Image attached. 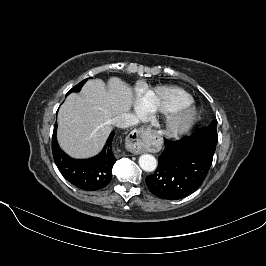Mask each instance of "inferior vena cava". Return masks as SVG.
<instances>
[{
  "label": "inferior vena cava",
  "instance_id": "1",
  "mask_svg": "<svg viewBox=\"0 0 266 266\" xmlns=\"http://www.w3.org/2000/svg\"><path fill=\"white\" fill-rule=\"evenodd\" d=\"M111 124L118 128H128L130 126L136 125L139 119L131 113H122L110 120Z\"/></svg>",
  "mask_w": 266,
  "mask_h": 266
}]
</instances>
